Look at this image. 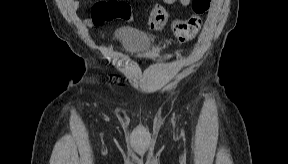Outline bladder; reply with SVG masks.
I'll use <instances>...</instances> for the list:
<instances>
[{
	"mask_svg": "<svg viewBox=\"0 0 288 164\" xmlns=\"http://www.w3.org/2000/svg\"><path fill=\"white\" fill-rule=\"evenodd\" d=\"M123 40L129 50L140 53H145L149 51L153 46L152 41L144 36L125 34Z\"/></svg>",
	"mask_w": 288,
	"mask_h": 164,
	"instance_id": "bladder-1",
	"label": "bladder"
}]
</instances>
